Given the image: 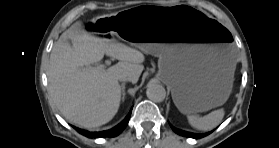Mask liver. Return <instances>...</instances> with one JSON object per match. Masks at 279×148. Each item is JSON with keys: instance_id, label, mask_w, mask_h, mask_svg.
<instances>
[{"instance_id": "6515ba94", "label": "liver", "mask_w": 279, "mask_h": 148, "mask_svg": "<svg viewBox=\"0 0 279 148\" xmlns=\"http://www.w3.org/2000/svg\"><path fill=\"white\" fill-rule=\"evenodd\" d=\"M104 16H98L96 21ZM104 54L119 62L108 69L90 70ZM145 56L135 48L107 39L95 30L86 31L74 23L54 44L47 71L53 103L68 121L87 129L100 127L113 119L121 100L119 77L135 84L144 69Z\"/></svg>"}]
</instances>
